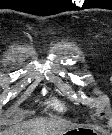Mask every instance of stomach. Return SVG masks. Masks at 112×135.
<instances>
[{"label":"stomach","mask_w":112,"mask_h":135,"mask_svg":"<svg viewBox=\"0 0 112 135\" xmlns=\"http://www.w3.org/2000/svg\"><path fill=\"white\" fill-rule=\"evenodd\" d=\"M64 134H67V135H91V134H95V132L92 130H89V129H84V128H72V129L66 131Z\"/></svg>","instance_id":"stomach-1"}]
</instances>
